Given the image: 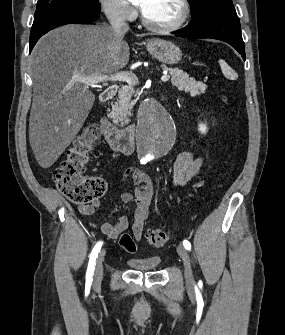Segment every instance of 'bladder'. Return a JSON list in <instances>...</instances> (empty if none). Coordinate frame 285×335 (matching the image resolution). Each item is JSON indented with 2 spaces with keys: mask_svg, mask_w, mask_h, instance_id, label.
<instances>
[{
  "mask_svg": "<svg viewBox=\"0 0 285 335\" xmlns=\"http://www.w3.org/2000/svg\"><path fill=\"white\" fill-rule=\"evenodd\" d=\"M161 256L126 258V265L136 272H154V265H161Z\"/></svg>",
  "mask_w": 285,
  "mask_h": 335,
  "instance_id": "obj_1",
  "label": "bladder"
}]
</instances>
